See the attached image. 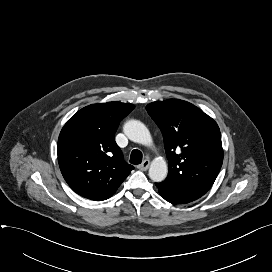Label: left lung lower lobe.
Here are the masks:
<instances>
[{
  "instance_id": "left-lung-lower-lobe-1",
  "label": "left lung lower lobe",
  "mask_w": 272,
  "mask_h": 272,
  "mask_svg": "<svg viewBox=\"0 0 272 272\" xmlns=\"http://www.w3.org/2000/svg\"><path fill=\"white\" fill-rule=\"evenodd\" d=\"M159 189L160 195L168 202L172 204H186L192 201L197 200L201 196H203L204 192H196V191H188L179 194L168 193L164 186H161L160 183L156 184Z\"/></svg>"
}]
</instances>
